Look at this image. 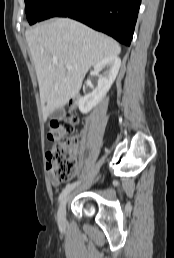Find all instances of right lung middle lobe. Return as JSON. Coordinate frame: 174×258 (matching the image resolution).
I'll use <instances>...</instances> for the list:
<instances>
[{"label":"right lung middle lobe","mask_w":174,"mask_h":258,"mask_svg":"<svg viewBox=\"0 0 174 258\" xmlns=\"http://www.w3.org/2000/svg\"><path fill=\"white\" fill-rule=\"evenodd\" d=\"M53 0H25V12L30 25L43 19L44 13Z\"/></svg>","instance_id":"1"}]
</instances>
